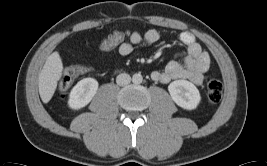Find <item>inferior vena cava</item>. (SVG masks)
Returning <instances> with one entry per match:
<instances>
[{
  "label": "inferior vena cava",
  "mask_w": 267,
  "mask_h": 166,
  "mask_svg": "<svg viewBox=\"0 0 267 166\" xmlns=\"http://www.w3.org/2000/svg\"><path fill=\"white\" fill-rule=\"evenodd\" d=\"M131 81V77L129 74L127 73H121L119 74L117 77H116V83L119 85V86H124V85H127L129 84Z\"/></svg>",
  "instance_id": "602c4592"
}]
</instances>
